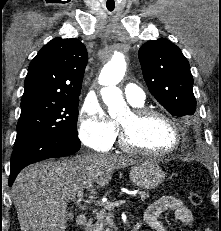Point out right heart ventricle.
I'll return each instance as SVG.
<instances>
[{"label":"right heart ventricle","instance_id":"obj_1","mask_svg":"<svg viewBox=\"0 0 221 231\" xmlns=\"http://www.w3.org/2000/svg\"><path fill=\"white\" fill-rule=\"evenodd\" d=\"M134 106H135V107H141L142 104H135Z\"/></svg>","mask_w":221,"mask_h":231}]
</instances>
